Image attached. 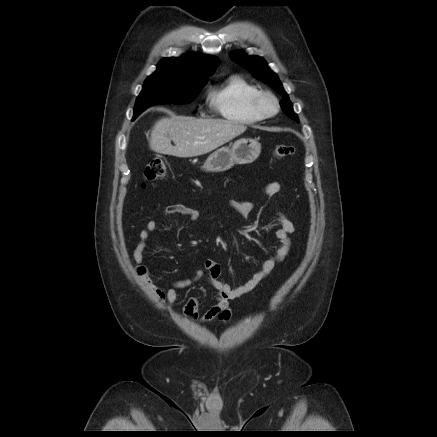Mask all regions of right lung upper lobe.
<instances>
[{
	"label": "right lung upper lobe",
	"mask_w": 437,
	"mask_h": 437,
	"mask_svg": "<svg viewBox=\"0 0 437 437\" xmlns=\"http://www.w3.org/2000/svg\"><path fill=\"white\" fill-rule=\"evenodd\" d=\"M219 59L209 55L190 54L179 58H164L153 74L172 76L184 81L207 80L219 65Z\"/></svg>",
	"instance_id": "cb5924a9"
}]
</instances>
